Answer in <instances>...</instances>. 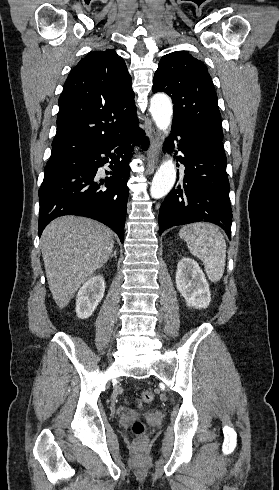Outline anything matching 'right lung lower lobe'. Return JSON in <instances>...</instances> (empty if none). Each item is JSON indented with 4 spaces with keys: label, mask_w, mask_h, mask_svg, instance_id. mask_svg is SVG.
I'll return each mask as SVG.
<instances>
[{
    "label": "right lung lower lobe",
    "mask_w": 279,
    "mask_h": 490,
    "mask_svg": "<svg viewBox=\"0 0 279 490\" xmlns=\"http://www.w3.org/2000/svg\"><path fill=\"white\" fill-rule=\"evenodd\" d=\"M139 135L141 137H139ZM137 126L44 178L39 189V236L53 219L63 215L85 216L109 226L124 241L129 189L128 163L133 147L149 141ZM110 162V177L98 180V168Z\"/></svg>",
    "instance_id": "obj_1"
}]
</instances>
